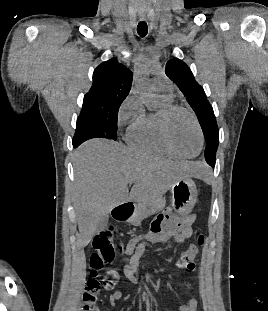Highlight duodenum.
<instances>
[{
    "instance_id": "obj_1",
    "label": "duodenum",
    "mask_w": 268,
    "mask_h": 311,
    "mask_svg": "<svg viewBox=\"0 0 268 311\" xmlns=\"http://www.w3.org/2000/svg\"><path fill=\"white\" fill-rule=\"evenodd\" d=\"M134 207L131 203H122L116 206L113 210V217L117 222H125L133 212Z\"/></svg>"
}]
</instances>
